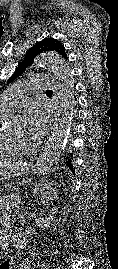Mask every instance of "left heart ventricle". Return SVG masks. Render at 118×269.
<instances>
[{"label": "left heart ventricle", "mask_w": 118, "mask_h": 269, "mask_svg": "<svg viewBox=\"0 0 118 269\" xmlns=\"http://www.w3.org/2000/svg\"><path fill=\"white\" fill-rule=\"evenodd\" d=\"M24 129H25V127L23 126V122H22V120H19L18 121V124H17V126H16V128H15V132L18 134V135H23V133H24Z\"/></svg>", "instance_id": "b2bd125f"}]
</instances>
